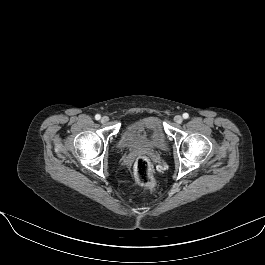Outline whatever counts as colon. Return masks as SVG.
<instances>
[{
    "label": "colon",
    "instance_id": "5ec220e1",
    "mask_svg": "<svg viewBox=\"0 0 265 265\" xmlns=\"http://www.w3.org/2000/svg\"><path fill=\"white\" fill-rule=\"evenodd\" d=\"M134 175L136 180L143 186L153 188L156 185V180L152 172L149 160L140 156L134 164Z\"/></svg>",
    "mask_w": 265,
    "mask_h": 265
}]
</instances>
